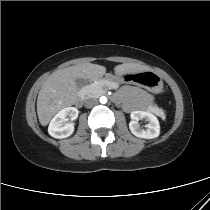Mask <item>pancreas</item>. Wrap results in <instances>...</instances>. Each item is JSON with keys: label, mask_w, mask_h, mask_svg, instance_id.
Masks as SVG:
<instances>
[{"label": "pancreas", "mask_w": 210, "mask_h": 210, "mask_svg": "<svg viewBox=\"0 0 210 210\" xmlns=\"http://www.w3.org/2000/svg\"><path fill=\"white\" fill-rule=\"evenodd\" d=\"M117 84L110 80L109 86L115 87ZM105 87L101 82L91 84L88 88V96L89 97H99L105 92ZM149 109L152 111H157L158 108L156 106H149Z\"/></svg>", "instance_id": "cf45deb5"}]
</instances>
